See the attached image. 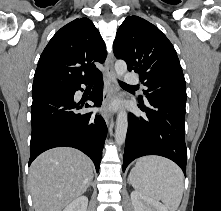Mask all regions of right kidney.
Returning a JSON list of instances; mask_svg holds the SVG:
<instances>
[{
    "mask_svg": "<svg viewBox=\"0 0 221 211\" xmlns=\"http://www.w3.org/2000/svg\"><path fill=\"white\" fill-rule=\"evenodd\" d=\"M88 198L80 196L73 200L63 211H87Z\"/></svg>",
    "mask_w": 221,
    "mask_h": 211,
    "instance_id": "1",
    "label": "right kidney"
}]
</instances>
